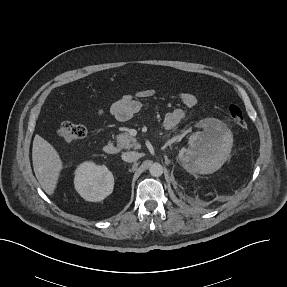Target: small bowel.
<instances>
[{"label": "small bowel", "mask_w": 287, "mask_h": 287, "mask_svg": "<svg viewBox=\"0 0 287 287\" xmlns=\"http://www.w3.org/2000/svg\"><path fill=\"white\" fill-rule=\"evenodd\" d=\"M154 95V90L143 89L135 93L124 94L111 107V112L120 121H126L136 115L141 109L140 99L149 98ZM181 101L186 107H193L197 103V98L192 92H182ZM101 114V111H99ZM185 112L181 108H175L169 111L163 121L164 127L167 129L175 128L184 118Z\"/></svg>", "instance_id": "1"}]
</instances>
